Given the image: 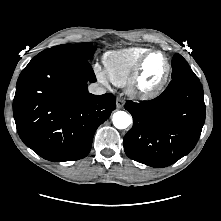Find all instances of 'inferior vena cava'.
I'll list each match as a JSON object with an SVG mask.
<instances>
[{"mask_svg": "<svg viewBox=\"0 0 221 221\" xmlns=\"http://www.w3.org/2000/svg\"><path fill=\"white\" fill-rule=\"evenodd\" d=\"M88 91L94 95H102L106 93V88L98 83H91L88 86Z\"/></svg>", "mask_w": 221, "mask_h": 221, "instance_id": "1", "label": "inferior vena cava"}]
</instances>
